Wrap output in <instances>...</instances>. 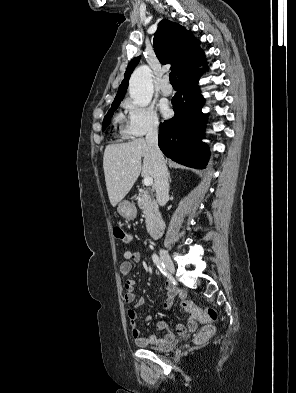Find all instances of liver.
<instances>
[{
    "label": "liver",
    "mask_w": 296,
    "mask_h": 393,
    "mask_svg": "<svg viewBox=\"0 0 296 393\" xmlns=\"http://www.w3.org/2000/svg\"><path fill=\"white\" fill-rule=\"evenodd\" d=\"M103 169L113 207L128 194L140 173L144 178H154L155 174L154 160L145 139L108 145L104 151Z\"/></svg>",
    "instance_id": "liver-1"
}]
</instances>
